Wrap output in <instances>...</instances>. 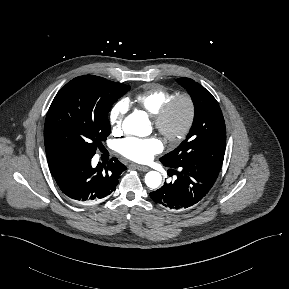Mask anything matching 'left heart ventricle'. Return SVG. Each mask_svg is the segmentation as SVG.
I'll list each match as a JSON object with an SVG mask.
<instances>
[{"label": "left heart ventricle", "instance_id": "1", "mask_svg": "<svg viewBox=\"0 0 289 289\" xmlns=\"http://www.w3.org/2000/svg\"><path fill=\"white\" fill-rule=\"evenodd\" d=\"M187 116H188V105L185 101H179L177 103V105L175 106L171 116H170V119H169V130L172 132V133H175L177 131H179L186 119H187Z\"/></svg>", "mask_w": 289, "mask_h": 289}]
</instances>
